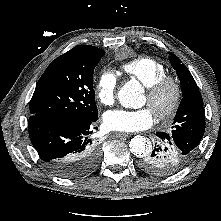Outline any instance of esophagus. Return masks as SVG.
<instances>
[{"label": "esophagus", "instance_id": "1", "mask_svg": "<svg viewBox=\"0 0 221 221\" xmlns=\"http://www.w3.org/2000/svg\"><path fill=\"white\" fill-rule=\"evenodd\" d=\"M130 134L128 133H121V132H115V133H112V136L114 137H128Z\"/></svg>", "mask_w": 221, "mask_h": 221}]
</instances>
